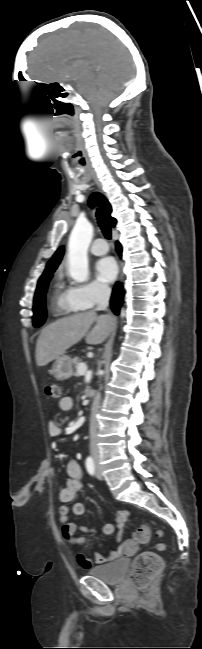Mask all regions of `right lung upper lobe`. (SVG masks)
<instances>
[{
  "label": "right lung upper lobe",
  "instance_id": "right-lung-upper-lobe-1",
  "mask_svg": "<svg viewBox=\"0 0 202 649\" xmlns=\"http://www.w3.org/2000/svg\"><path fill=\"white\" fill-rule=\"evenodd\" d=\"M95 204H98L101 207V209L103 210V212H104L106 218L108 219V221L111 223L112 226H115L116 219L111 217L112 208H111V205L109 204L108 200L102 194L96 192V193H93L90 196V199H89V205L91 207H93ZM63 254H64V247L61 246V247H59L57 249V251L55 252L53 257L47 263L46 269H45L44 273L42 274V276L46 275V274H48L50 272H54L56 270V268L58 267V265L61 262Z\"/></svg>",
  "mask_w": 202,
  "mask_h": 649
}]
</instances>
